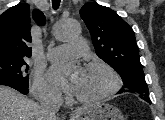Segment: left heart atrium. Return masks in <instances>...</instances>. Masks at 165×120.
Returning a JSON list of instances; mask_svg holds the SVG:
<instances>
[{"mask_svg":"<svg viewBox=\"0 0 165 120\" xmlns=\"http://www.w3.org/2000/svg\"><path fill=\"white\" fill-rule=\"evenodd\" d=\"M83 72L82 68L74 66L54 68L50 72V78L65 91L75 93Z\"/></svg>","mask_w":165,"mask_h":120,"instance_id":"39dd6f15","label":"left heart atrium"}]
</instances>
